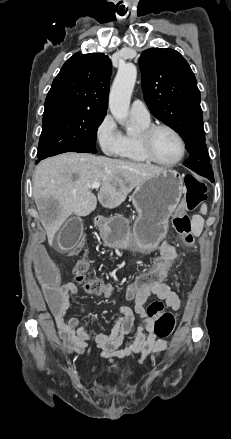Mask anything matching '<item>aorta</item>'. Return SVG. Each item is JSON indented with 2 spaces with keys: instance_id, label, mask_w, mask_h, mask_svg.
I'll use <instances>...</instances> for the list:
<instances>
[{
  "instance_id": "1",
  "label": "aorta",
  "mask_w": 231,
  "mask_h": 439,
  "mask_svg": "<svg viewBox=\"0 0 231 439\" xmlns=\"http://www.w3.org/2000/svg\"><path fill=\"white\" fill-rule=\"evenodd\" d=\"M137 78V68L132 63L119 66L109 95V108L113 117L123 124L128 117L130 99ZM131 127L127 128V132Z\"/></svg>"
}]
</instances>
